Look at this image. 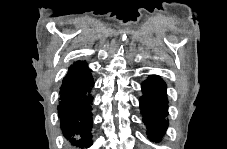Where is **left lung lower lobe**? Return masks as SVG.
I'll list each match as a JSON object with an SVG mask.
<instances>
[{
	"label": "left lung lower lobe",
	"instance_id": "0a47b994",
	"mask_svg": "<svg viewBox=\"0 0 227 149\" xmlns=\"http://www.w3.org/2000/svg\"><path fill=\"white\" fill-rule=\"evenodd\" d=\"M142 92L140 108L147 134L151 141L159 142L168 127L165 119L168 115L166 84L160 77L151 75L142 83Z\"/></svg>",
	"mask_w": 227,
	"mask_h": 149
}]
</instances>
